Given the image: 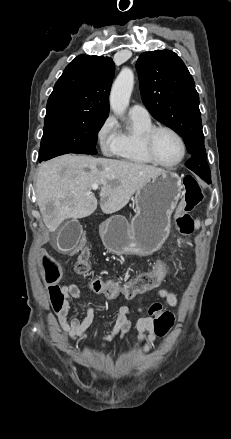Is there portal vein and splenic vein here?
I'll return each mask as SVG.
<instances>
[{"instance_id": "18ae733b", "label": "portal vein and splenic vein", "mask_w": 231, "mask_h": 439, "mask_svg": "<svg viewBox=\"0 0 231 439\" xmlns=\"http://www.w3.org/2000/svg\"><path fill=\"white\" fill-rule=\"evenodd\" d=\"M91 187H92V190H94V191H95V190H97V189H98V184L94 183V184H92V186H91Z\"/></svg>"}]
</instances>
